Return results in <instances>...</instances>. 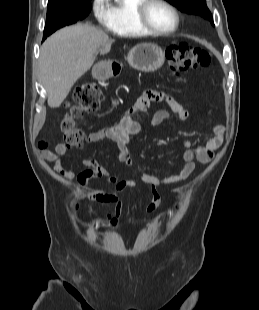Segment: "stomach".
I'll use <instances>...</instances> for the list:
<instances>
[{"mask_svg": "<svg viewBox=\"0 0 259 310\" xmlns=\"http://www.w3.org/2000/svg\"><path fill=\"white\" fill-rule=\"evenodd\" d=\"M127 60L129 65L138 71L154 72L163 65L165 54L155 44L141 43L129 51ZM97 70H101L97 74L99 79H105L110 75V70L105 64L95 66L94 72Z\"/></svg>", "mask_w": 259, "mask_h": 310, "instance_id": "1", "label": "stomach"}]
</instances>
